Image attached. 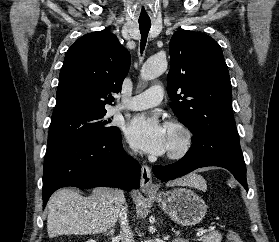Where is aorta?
<instances>
[{"label":"aorta","instance_id":"1","mask_svg":"<svg viewBox=\"0 0 279 242\" xmlns=\"http://www.w3.org/2000/svg\"><path fill=\"white\" fill-rule=\"evenodd\" d=\"M168 63L167 59L162 54H156L150 57L142 66L141 77L144 80H152L161 74H163L167 69ZM145 242H151L147 240Z\"/></svg>","mask_w":279,"mask_h":242}]
</instances>
